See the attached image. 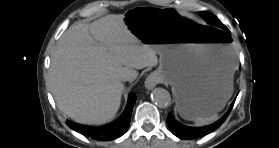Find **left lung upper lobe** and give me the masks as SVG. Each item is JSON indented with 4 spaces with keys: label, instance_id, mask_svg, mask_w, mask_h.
<instances>
[{
    "label": "left lung upper lobe",
    "instance_id": "obj_1",
    "mask_svg": "<svg viewBox=\"0 0 279 148\" xmlns=\"http://www.w3.org/2000/svg\"><path fill=\"white\" fill-rule=\"evenodd\" d=\"M206 21L212 26L223 28L224 30L228 31L227 27L222 25V23L218 20V18L208 12H200L199 13Z\"/></svg>",
    "mask_w": 279,
    "mask_h": 148
}]
</instances>
